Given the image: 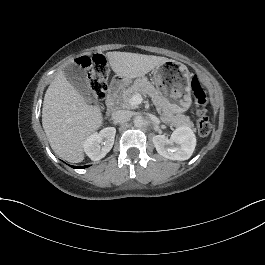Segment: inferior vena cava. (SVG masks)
Returning <instances> with one entry per match:
<instances>
[{
    "label": "inferior vena cava",
    "instance_id": "obj_1",
    "mask_svg": "<svg viewBox=\"0 0 265 265\" xmlns=\"http://www.w3.org/2000/svg\"><path fill=\"white\" fill-rule=\"evenodd\" d=\"M132 113L127 110H119L112 113V118L116 122H127L130 120Z\"/></svg>",
    "mask_w": 265,
    "mask_h": 265
}]
</instances>
